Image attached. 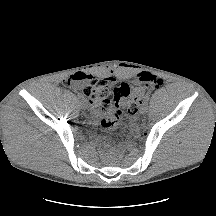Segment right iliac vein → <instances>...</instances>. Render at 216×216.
I'll return each instance as SVG.
<instances>
[{
  "label": "right iliac vein",
  "instance_id": "right-iliac-vein-1",
  "mask_svg": "<svg viewBox=\"0 0 216 216\" xmlns=\"http://www.w3.org/2000/svg\"><path fill=\"white\" fill-rule=\"evenodd\" d=\"M81 110H83L84 112L87 110L86 109V105H85V102L83 101L82 103H81Z\"/></svg>",
  "mask_w": 216,
  "mask_h": 216
}]
</instances>
